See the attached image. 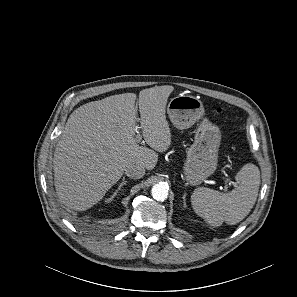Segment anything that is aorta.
<instances>
[{
    "instance_id": "1",
    "label": "aorta",
    "mask_w": 297,
    "mask_h": 297,
    "mask_svg": "<svg viewBox=\"0 0 297 297\" xmlns=\"http://www.w3.org/2000/svg\"><path fill=\"white\" fill-rule=\"evenodd\" d=\"M151 194L157 201H164L168 197V186L164 183L155 184L152 187Z\"/></svg>"
}]
</instances>
